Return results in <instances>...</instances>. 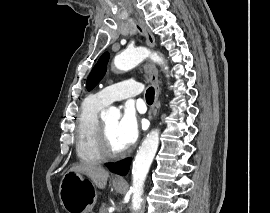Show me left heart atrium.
I'll list each match as a JSON object with an SVG mask.
<instances>
[{"mask_svg":"<svg viewBox=\"0 0 270 213\" xmlns=\"http://www.w3.org/2000/svg\"><path fill=\"white\" fill-rule=\"evenodd\" d=\"M117 135L124 149L132 146L139 136V123L134 110L127 106L117 125Z\"/></svg>","mask_w":270,"mask_h":213,"instance_id":"1","label":"left heart atrium"}]
</instances>
